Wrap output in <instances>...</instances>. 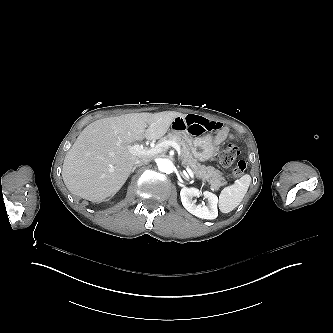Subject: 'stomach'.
Instances as JSON below:
<instances>
[{
    "instance_id": "obj_1",
    "label": "stomach",
    "mask_w": 333,
    "mask_h": 333,
    "mask_svg": "<svg viewBox=\"0 0 333 333\" xmlns=\"http://www.w3.org/2000/svg\"><path fill=\"white\" fill-rule=\"evenodd\" d=\"M172 132H177L178 130L171 127ZM185 138L190 139L185 136ZM191 153L197 160L204 162L213 158L219 148L213 143V136L211 134H206L203 136L192 137L191 139Z\"/></svg>"
}]
</instances>
